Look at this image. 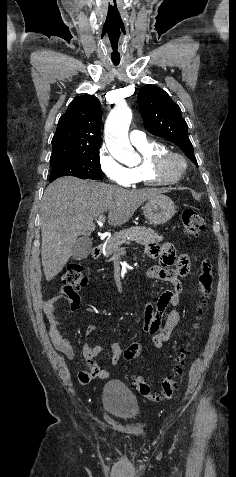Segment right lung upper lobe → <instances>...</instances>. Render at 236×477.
<instances>
[{"mask_svg": "<svg viewBox=\"0 0 236 477\" xmlns=\"http://www.w3.org/2000/svg\"><path fill=\"white\" fill-rule=\"evenodd\" d=\"M101 105L93 95L75 98L58 122L50 161L101 145Z\"/></svg>", "mask_w": 236, "mask_h": 477, "instance_id": "cb5924a9", "label": "right lung upper lobe"}]
</instances>
